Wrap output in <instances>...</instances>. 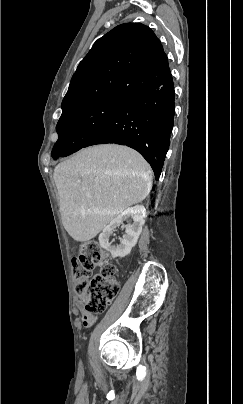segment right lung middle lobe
<instances>
[{"instance_id": "dd1d6c3e", "label": "right lung middle lobe", "mask_w": 243, "mask_h": 404, "mask_svg": "<svg viewBox=\"0 0 243 404\" xmlns=\"http://www.w3.org/2000/svg\"><path fill=\"white\" fill-rule=\"evenodd\" d=\"M125 101L122 98L99 99L63 113L56 126L59 138L53 147L52 158L66 157L85 147Z\"/></svg>"}]
</instances>
